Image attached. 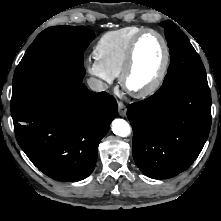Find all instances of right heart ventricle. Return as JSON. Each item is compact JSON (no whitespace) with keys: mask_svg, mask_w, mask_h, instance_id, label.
<instances>
[{"mask_svg":"<svg viewBox=\"0 0 221 221\" xmlns=\"http://www.w3.org/2000/svg\"><path fill=\"white\" fill-rule=\"evenodd\" d=\"M140 26H127L104 33L94 47L96 60L113 77L119 76L132 39L142 31Z\"/></svg>","mask_w":221,"mask_h":221,"instance_id":"1","label":"right heart ventricle"}]
</instances>
